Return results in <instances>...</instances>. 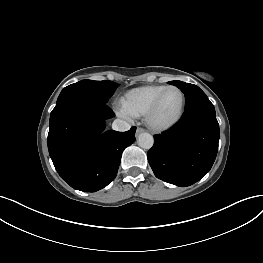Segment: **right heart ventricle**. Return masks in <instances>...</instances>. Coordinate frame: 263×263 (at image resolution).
<instances>
[{
	"instance_id": "right-heart-ventricle-1",
	"label": "right heart ventricle",
	"mask_w": 263,
	"mask_h": 263,
	"mask_svg": "<svg viewBox=\"0 0 263 263\" xmlns=\"http://www.w3.org/2000/svg\"><path fill=\"white\" fill-rule=\"evenodd\" d=\"M167 86L150 85L131 89L121 99L122 110L134 118L144 117L154 99Z\"/></svg>"
}]
</instances>
